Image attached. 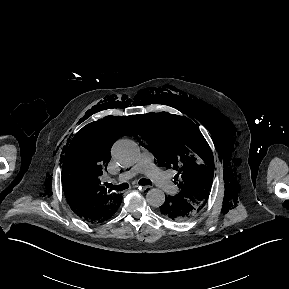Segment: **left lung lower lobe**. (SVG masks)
Instances as JSON below:
<instances>
[{
	"mask_svg": "<svg viewBox=\"0 0 289 289\" xmlns=\"http://www.w3.org/2000/svg\"><path fill=\"white\" fill-rule=\"evenodd\" d=\"M198 211L196 207L178 196H166L164 204L160 206L161 214L173 221L187 220Z\"/></svg>",
	"mask_w": 289,
	"mask_h": 289,
	"instance_id": "obj_1",
	"label": "left lung lower lobe"
}]
</instances>
